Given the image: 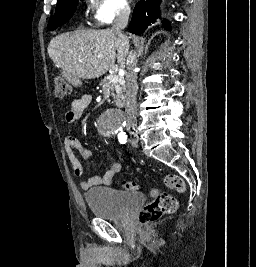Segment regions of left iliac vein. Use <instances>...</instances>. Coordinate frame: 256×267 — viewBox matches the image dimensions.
I'll return each instance as SVG.
<instances>
[{"instance_id":"left-iliac-vein-1","label":"left iliac vein","mask_w":256,"mask_h":267,"mask_svg":"<svg viewBox=\"0 0 256 267\" xmlns=\"http://www.w3.org/2000/svg\"><path fill=\"white\" fill-rule=\"evenodd\" d=\"M131 145H132L133 147H137V145H138V140H137V139H132V140H131Z\"/></svg>"}]
</instances>
